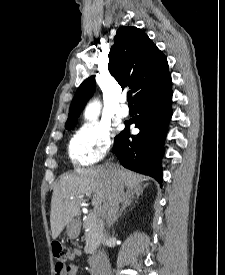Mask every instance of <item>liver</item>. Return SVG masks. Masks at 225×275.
Returning a JSON list of instances; mask_svg holds the SVG:
<instances>
[{
  "label": "liver",
  "mask_w": 225,
  "mask_h": 275,
  "mask_svg": "<svg viewBox=\"0 0 225 275\" xmlns=\"http://www.w3.org/2000/svg\"><path fill=\"white\" fill-rule=\"evenodd\" d=\"M115 171L128 191H143V176L109 164L79 170L60 178L51 199L50 224L53 239H56L65 226L80 214L81 207L86 201L84 196L90 197L93 194L92 205L95 208L103 205L105 208Z\"/></svg>",
  "instance_id": "liver-1"
}]
</instances>
